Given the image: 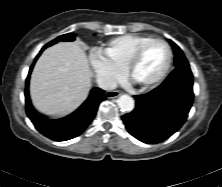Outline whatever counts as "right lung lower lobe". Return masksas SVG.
Returning a JSON list of instances; mask_svg holds the SVG:
<instances>
[{"mask_svg": "<svg viewBox=\"0 0 222 187\" xmlns=\"http://www.w3.org/2000/svg\"><path fill=\"white\" fill-rule=\"evenodd\" d=\"M44 46L41 52L47 48ZM34 64L30 67L26 79L25 99L26 113L35 128L44 136L54 141H66L79 136L94 119L101 101L106 99L105 91L100 88H93L87 100L72 114L57 120H50L38 114L33 108L29 97V78Z\"/></svg>", "mask_w": 222, "mask_h": 187, "instance_id": "right-lung-lower-lobe-1", "label": "right lung lower lobe"}]
</instances>
